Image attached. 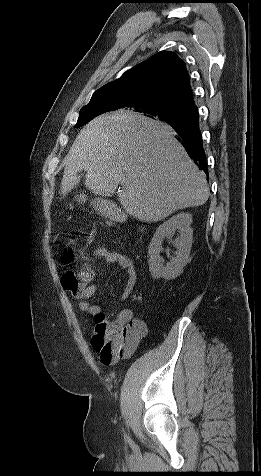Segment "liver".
Segmentation results:
<instances>
[{
    "instance_id": "1",
    "label": "liver",
    "mask_w": 261,
    "mask_h": 476,
    "mask_svg": "<svg viewBox=\"0 0 261 476\" xmlns=\"http://www.w3.org/2000/svg\"><path fill=\"white\" fill-rule=\"evenodd\" d=\"M173 134L170 126L131 111L94 118L65 158L61 193L78 185L84 170V184L95 194L110 196L121 184V206L140 221L157 222L204 205L206 175Z\"/></svg>"
}]
</instances>
